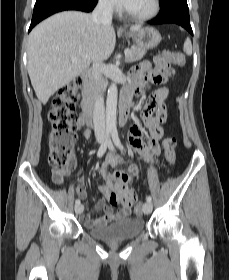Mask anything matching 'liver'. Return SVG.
<instances>
[{"label": "liver", "instance_id": "1", "mask_svg": "<svg viewBox=\"0 0 229 280\" xmlns=\"http://www.w3.org/2000/svg\"><path fill=\"white\" fill-rule=\"evenodd\" d=\"M140 26L130 27L136 32ZM116 44L111 24L97 25L78 11L57 13L37 25L28 38V74L37 98L46 104L94 62L110 57ZM71 57L77 61L72 62Z\"/></svg>", "mask_w": 229, "mask_h": 280}]
</instances>
